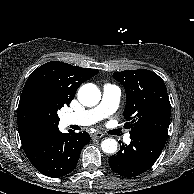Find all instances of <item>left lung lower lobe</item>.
<instances>
[{
    "label": "left lung lower lobe",
    "mask_w": 194,
    "mask_h": 194,
    "mask_svg": "<svg viewBox=\"0 0 194 194\" xmlns=\"http://www.w3.org/2000/svg\"><path fill=\"white\" fill-rule=\"evenodd\" d=\"M130 137L131 143L122 144L120 150L109 158L111 169L128 178L152 167L165 146L167 134L135 130L130 132Z\"/></svg>",
    "instance_id": "left-lung-lower-lobe-1"
}]
</instances>
